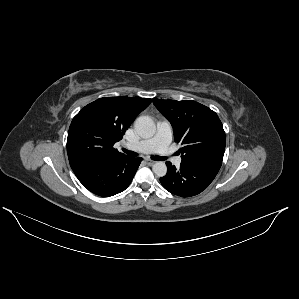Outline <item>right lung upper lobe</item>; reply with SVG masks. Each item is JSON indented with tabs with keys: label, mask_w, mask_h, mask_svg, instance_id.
I'll list each match as a JSON object with an SVG mask.
<instances>
[{
	"label": "right lung upper lobe",
	"mask_w": 299,
	"mask_h": 299,
	"mask_svg": "<svg viewBox=\"0 0 299 299\" xmlns=\"http://www.w3.org/2000/svg\"><path fill=\"white\" fill-rule=\"evenodd\" d=\"M150 103L149 98L104 97L82 108L68 131L67 152L71 168L124 157L113 146Z\"/></svg>",
	"instance_id": "obj_1"
}]
</instances>
